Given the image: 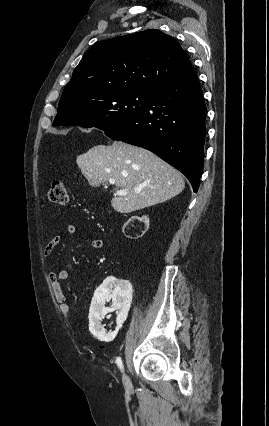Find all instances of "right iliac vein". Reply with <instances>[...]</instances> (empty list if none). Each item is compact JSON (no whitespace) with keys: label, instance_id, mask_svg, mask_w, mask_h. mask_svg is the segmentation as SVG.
<instances>
[{"label":"right iliac vein","instance_id":"obj_1","mask_svg":"<svg viewBox=\"0 0 269 426\" xmlns=\"http://www.w3.org/2000/svg\"><path fill=\"white\" fill-rule=\"evenodd\" d=\"M122 381H123V385H124L126 390H132V388H133L132 383H131L130 378L127 376V374H125V373L123 374Z\"/></svg>","mask_w":269,"mask_h":426}]
</instances>
